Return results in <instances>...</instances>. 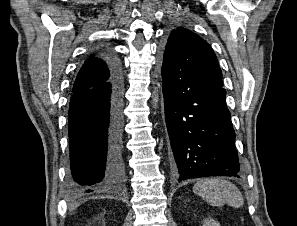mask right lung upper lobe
Wrapping results in <instances>:
<instances>
[{
	"label": "right lung upper lobe",
	"mask_w": 297,
	"mask_h": 226,
	"mask_svg": "<svg viewBox=\"0 0 297 226\" xmlns=\"http://www.w3.org/2000/svg\"><path fill=\"white\" fill-rule=\"evenodd\" d=\"M110 59L111 57L106 54H92L81 67L72 92L105 84L110 78Z\"/></svg>",
	"instance_id": "1"
}]
</instances>
